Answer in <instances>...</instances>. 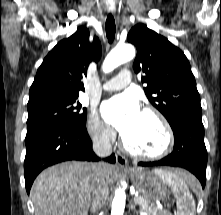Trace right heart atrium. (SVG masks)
Returning a JSON list of instances; mask_svg holds the SVG:
<instances>
[{
  "label": "right heart atrium",
  "mask_w": 221,
  "mask_h": 215,
  "mask_svg": "<svg viewBox=\"0 0 221 215\" xmlns=\"http://www.w3.org/2000/svg\"><path fill=\"white\" fill-rule=\"evenodd\" d=\"M87 130L92 139L101 144H109L114 138L112 129L100 119L95 110L89 115Z\"/></svg>",
  "instance_id": "obj_1"
}]
</instances>
